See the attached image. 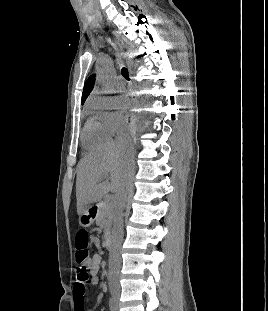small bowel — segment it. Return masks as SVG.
Wrapping results in <instances>:
<instances>
[{
  "instance_id": "small-bowel-1",
  "label": "small bowel",
  "mask_w": 268,
  "mask_h": 311,
  "mask_svg": "<svg viewBox=\"0 0 268 311\" xmlns=\"http://www.w3.org/2000/svg\"><path fill=\"white\" fill-rule=\"evenodd\" d=\"M94 246V253L90 260L88 269H89V283L91 285H96L100 279V270H101V260H102V248L98 238L94 237L92 240ZM80 283L77 281L73 288V301H74V310L75 311H86L84 304V294L79 290Z\"/></svg>"
}]
</instances>
